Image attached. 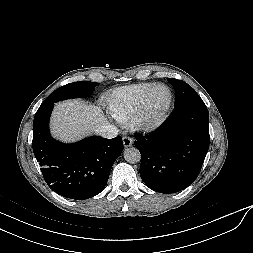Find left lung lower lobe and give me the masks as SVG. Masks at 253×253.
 Segmentation results:
<instances>
[{"label":"left lung lower lobe","mask_w":253,"mask_h":253,"mask_svg":"<svg viewBox=\"0 0 253 253\" xmlns=\"http://www.w3.org/2000/svg\"><path fill=\"white\" fill-rule=\"evenodd\" d=\"M140 176L152 190L176 193L195 181L209 148V113L202 99L174 109L150 135L135 133Z\"/></svg>","instance_id":"obj_1"}]
</instances>
